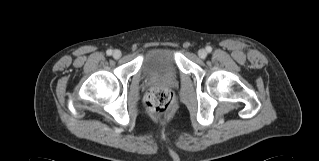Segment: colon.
I'll use <instances>...</instances> for the list:
<instances>
[{
  "mask_svg": "<svg viewBox=\"0 0 319 161\" xmlns=\"http://www.w3.org/2000/svg\"><path fill=\"white\" fill-rule=\"evenodd\" d=\"M144 102L149 113L156 117L171 114L175 110L174 96L166 87L149 89L144 96Z\"/></svg>",
  "mask_w": 319,
  "mask_h": 161,
  "instance_id": "5ec220e1",
  "label": "colon"
}]
</instances>
